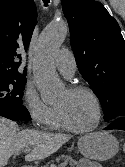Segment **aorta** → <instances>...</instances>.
I'll use <instances>...</instances> for the list:
<instances>
[{"label":"aorta","mask_w":125,"mask_h":167,"mask_svg":"<svg viewBox=\"0 0 125 167\" xmlns=\"http://www.w3.org/2000/svg\"><path fill=\"white\" fill-rule=\"evenodd\" d=\"M66 35L67 27L60 20L47 25L39 37L33 74L41 98L45 103L55 101L63 90V85L56 73L53 56L64 42Z\"/></svg>","instance_id":"aorta-1"}]
</instances>
